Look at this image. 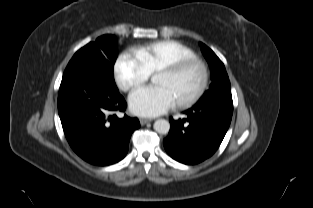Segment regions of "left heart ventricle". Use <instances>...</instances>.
<instances>
[{
  "instance_id": "obj_1",
  "label": "left heart ventricle",
  "mask_w": 313,
  "mask_h": 208,
  "mask_svg": "<svg viewBox=\"0 0 313 208\" xmlns=\"http://www.w3.org/2000/svg\"><path fill=\"white\" fill-rule=\"evenodd\" d=\"M200 78L199 68L192 66L175 76L158 73L155 76V84L166 87L177 101L190 96L197 89Z\"/></svg>"
}]
</instances>
